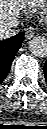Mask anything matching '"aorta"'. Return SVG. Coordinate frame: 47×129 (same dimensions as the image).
<instances>
[{"mask_svg": "<svg viewBox=\"0 0 47 129\" xmlns=\"http://www.w3.org/2000/svg\"><path fill=\"white\" fill-rule=\"evenodd\" d=\"M30 52L38 57L45 58L47 56V40L44 37H34L29 42Z\"/></svg>", "mask_w": 47, "mask_h": 129, "instance_id": "obj_1", "label": "aorta"}]
</instances>
